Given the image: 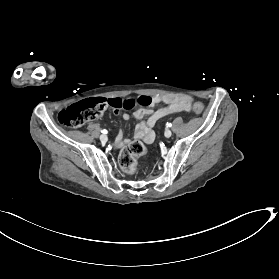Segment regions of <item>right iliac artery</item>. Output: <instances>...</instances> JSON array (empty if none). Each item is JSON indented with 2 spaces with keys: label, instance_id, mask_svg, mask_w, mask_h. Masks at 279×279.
Listing matches in <instances>:
<instances>
[{
  "label": "right iliac artery",
  "instance_id": "obj_1",
  "mask_svg": "<svg viewBox=\"0 0 279 279\" xmlns=\"http://www.w3.org/2000/svg\"><path fill=\"white\" fill-rule=\"evenodd\" d=\"M101 132H102L103 134H106V133H107V130L103 129V130H101Z\"/></svg>",
  "mask_w": 279,
  "mask_h": 279
}]
</instances>
